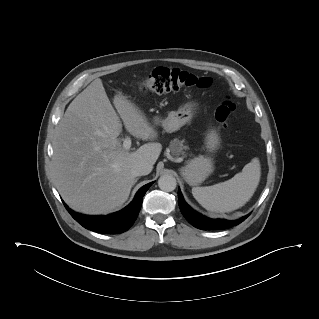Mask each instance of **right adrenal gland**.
Masks as SVG:
<instances>
[{
  "mask_svg": "<svg viewBox=\"0 0 319 319\" xmlns=\"http://www.w3.org/2000/svg\"><path fill=\"white\" fill-rule=\"evenodd\" d=\"M138 178L135 179L134 184L137 182Z\"/></svg>",
  "mask_w": 319,
  "mask_h": 319,
  "instance_id": "2a0ac1e0",
  "label": "right adrenal gland"
}]
</instances>
